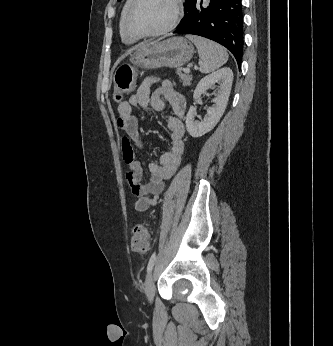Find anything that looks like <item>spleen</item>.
Wrapping results in <instances>:
<instances>
[{"mask_svg":"<svg viewBox=\"0 0 333 346\" xmlns=\"http://www.w3.org/2000/svg\"><path fill=\"white\" fill-rule=\"evenodd\" d=\"M187 38L198 49L201 73H210L227 62L228 53L222 46L199 36L188 35Z\"/></svg>","mask_w":333,"mask_h":346,"instance_id":"3e777b00","label":"spleen"}]
</instances>
